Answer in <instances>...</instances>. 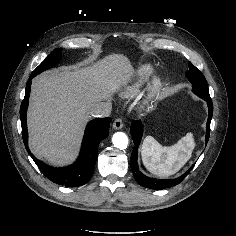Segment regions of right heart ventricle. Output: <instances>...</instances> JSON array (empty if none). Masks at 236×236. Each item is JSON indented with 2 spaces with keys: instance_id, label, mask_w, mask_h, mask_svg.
Returning <instances> with one entry per match:
<instances>
[{
  "instance_id": "e07e8e85",
  "label": "right heart ventricle",
  "mask_w": 236,
  "mask_h": 236,
  "mask_svg": "<svg viewBox=\"0 0 236 236\" xmlns=\"http://www.w3.org/2000/svg\"><path fill=\"white\" fill-rule=\"evenodd\" d=\"M151 73H152L151 67H149V66L142 67V69L140 70L139 81L137 83H135L132 87H130L127 94H131V93H134L135 91H137L141 82L145 81L150 76Z\"/></svg>"
}]
</instances>
